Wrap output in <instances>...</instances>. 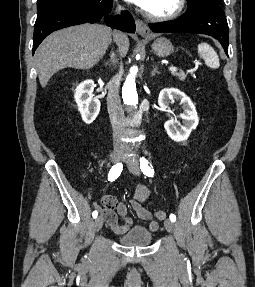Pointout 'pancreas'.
I'll use <instances>...</instances> for the list:
<instances>
[{
	"mask_svg": "<svg viewBox=\"0 0 255 287\" xmlns=\"http://www.w3.org/2000/svg\"><path fill=\"white\" fill-rule=\"evenodd\" d=\"M172 76H177V78H179V80H182V82H184V80H186L187 78V74H185V72H182V70H180V72H173Z\"/></svg>",
	"mask_w": 255,
	"mask_h": 287,
	"instance_id": "pancreas-1",
	"label": "pancreas"
}]
</instances>
